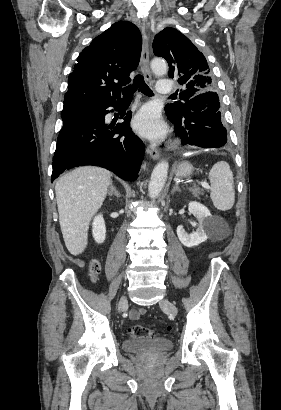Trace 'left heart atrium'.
<instances>
[{
    "mask_svg": "<svg viewBox=\"0 0 281 410\" xmlns=\"http://www.w3.org/2000/svg\"><path fill=\"white\" fill-rule=\"evenodd\" d=\"M134 129L150 139H161L166 134V124L158 110L151 106L143 107L133 120Z\"/></svg>",
    "mask_w": 281,
    "mask_h": 410,
    "instance_id": "1",
    "label": "left heart atrium"
}]
</instances>
